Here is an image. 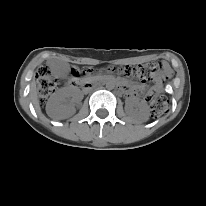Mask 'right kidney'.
<instances>
[{"label": "right kidney", "instance_id": "ca27d5eb", "mask_svg": "<svg viewBox=\"0 0 206 206\" xmlns=\"http://www.w3.org/2000/svg\"><path fill=\"white\" fill-rule=\"evenodd\" d=\"M70 97H72V101H78L81 98L78 91L62 90L54 94L46 105L47 114L53 119H64L72 116L75 109L71 103H68Z\"/></svg>", "mask_w": 206, "mask_h": 206}]
</instances>
